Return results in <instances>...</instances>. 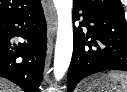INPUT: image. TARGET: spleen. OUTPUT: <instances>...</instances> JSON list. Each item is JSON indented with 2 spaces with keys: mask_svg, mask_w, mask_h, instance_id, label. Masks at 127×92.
Listing matches in <instances>:
<instances>
[{
  "mask_svg": "<svg viewBox=\"0 0 127 92\" xmlns=\"http://www.w3.org/2000/svg\"><path fill=\"white\" fill-rule=\"evenodd\" d=\"M107 76L113 82L119 84L113 92H127V72L111 71Z\"/></svg>",
  "mask_w": 127,
  "mask_h": 92,
  "instance_id": "3e777b00",
  "label": "spleen"
}]
</instances>
